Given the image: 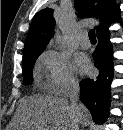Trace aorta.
<instances>
[{
    "mask_svg": "<svg viewBox=\"0 0 123 130\" xmlns=\"http://www.w3.org/2000/svg\"><path fill=\"white\" fill-rule=\"evenodd\" d=\"M54 41H55V44L58 47H60V46L63 45V43H64L63 35L59 31H57L55 33V35H54Z\"/></svg>",
    "mask_w": 123,
    "mask_h": 130,
    "instance_id": "aorta-1",
    "label": "aorta"
}]
</instances>
